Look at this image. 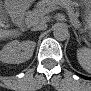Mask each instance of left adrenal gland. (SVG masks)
I'll return each instance as SVG.
<instances>
[{
  "instance_id": "obj_1",
  "label": "left adrenal gland",
  "mask_w": 91,
  "mask_h": 91,
  "mask_svg": "<svg viewBox=\"0 0 91 91\" xmlns=\"http://www.w3.org/2000/svg\"><path fill=\"white\" fill-rule=\"evenodd\" d=\"M74 34H75V36H76L77 41L79 42V38H78V35H77V33H76L75 30H74Z\"/></svg>"
}]
</instances>
